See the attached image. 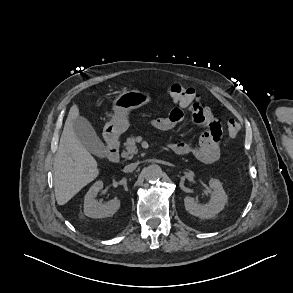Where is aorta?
Returning <instances> with one entry per match:
<instances>
[{"label": "aorta", "instance_id": "1", "mask_svg": "<svg viewBox=\"0 0 293 293\" xmlns=\"http://www.w3.org/2000/svg\"><path fill=\"white\" fill-rule=\"evenodd\" d=\"M144 175L147 181L155 182L161 178L162 169L160 168V166L153 164L145 168Z\"/></svg>", "mask_w": 293, "mask_h": 293}]
</instances>
